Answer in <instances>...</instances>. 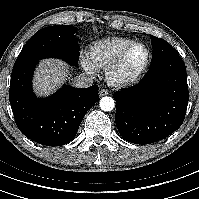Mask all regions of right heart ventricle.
I'll use <instances>...</instances> for the list:
<instances>
[{"mask_svg":"<svg viewBox=\"0 0 199 199\" xmlns=\"http://www.w3.org/2000/svg\"><path fill=\"white\" fill-rule=\"evenodd\" d=\"M135 41L127 37H110L89 47L90 61L97 69H106L119 53Z\"/></svg>","mask_w":199,"mask_h":199,"instance_id":"right-heart-ventricle-1","label":"right heart ventricle"}]
</instances>
